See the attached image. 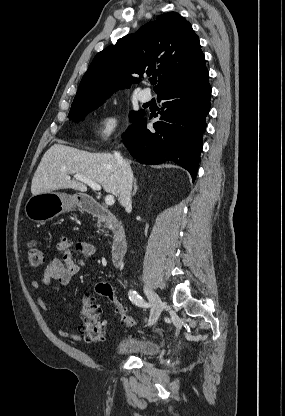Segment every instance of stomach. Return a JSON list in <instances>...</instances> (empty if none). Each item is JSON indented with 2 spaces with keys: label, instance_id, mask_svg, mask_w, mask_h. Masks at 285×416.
<instances>
[{
  "label": "stomach",
  "instance_id": "0dacf381",
  "mask_svg": "<svg viewBox=\"0 0 285 416\" xmlns=\"http://www.w3.org/2000/svg\"><path fill=\"white\" fill-rule=\"evenodd\" d=\"M82 196H68L60 192H46L31 196L25 204V214L32 222H47L64 212H71L76 206H81Z\"/></svg>",
  "mask_w": 285,
  "mask_h": 416
}]
</instances>
